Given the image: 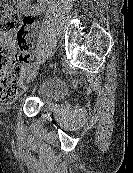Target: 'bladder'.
Here are the masks:
<instances>
[{
  "label": "bladder",
  "instance_id": "31cf9c89",
  "mask_svg": "<svg viewBox=\"0 0 133 173\" xmlns=\"http://www.w3.org/2000/svg\"><path fill=\"white\" fill-rule=\"evenodd\" d=\"M35 94L46 104L56 105L66 94V89L57 77H47L39 83Z\"/></svg>",
  "mask_w": 133,
  "mask_h": 173
}]
</instances>
